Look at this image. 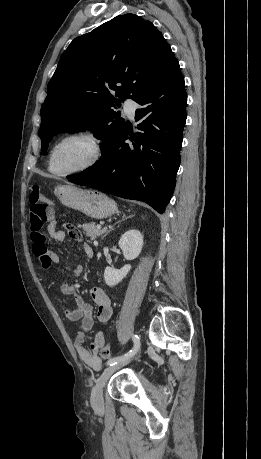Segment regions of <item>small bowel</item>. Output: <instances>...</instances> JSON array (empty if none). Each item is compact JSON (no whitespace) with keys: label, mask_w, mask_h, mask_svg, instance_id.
Instances as JSON below:
<instances>
[{"label":"small bowel","mask_w":261,"mask_h":459,"mask_svg":"<svg viewBox=\"0 0 261 459\" xmlns=\"http://www.w3.org/2000/svg\"><path fill=\"white\" fill-rule=\"evenodd\" d=\"M47 232L56 242L65 241L67 234L77 241L81 240V235L78 238H74L67 230L57 229L54 220L49 222ZM30 237L33 253L39 259L42 268L46 271H51L56 268L59 265V259L54 252L49 250L47 237L44 235L43 238H36L34 234H30ZM79 249L86 259L93 257V250L88 244H83ZM69 270L74 276H80L83 272V266L81 264H77L70 266ZM60 289L64 295L72 296L75 302V307L73 309L65 310L66 318L69 321L80 322L81 324V330L74 339V346L77 354L85 364L98 370L101 368L102 361L97 352L98 349L104 345L106 336L103 331H98L95 334L91 343V348L89 349L85 345L86 333L91 330L94 324V306L98 321L104 325L109 323L113 314L111 301L105 291L101 288H92L89 290V295L93 304L85 300L83 295L77 290L73 283L63 282Z\"/></svg>","instance_id":"obj_1"}]
</instances>
